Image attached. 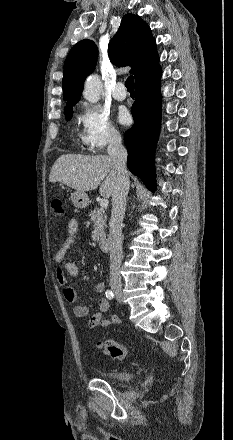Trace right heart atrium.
Masks as SVG:
<instances>
[{"label":"right heart atrium","instance_id":"obj_1","mask_svg":"<svg viewBox=\"0 0 233 440\" xmlns=\"http://www.w3.org/2000/svg\"><path fill=\"white\" fill-rule=\"evenodd\" d=\"M77 119L81 127L80 143L88 152L100 153L120 140V134L109 114L96 105L84 103Z\"/></svg>","mask_w":233,"mask_h":440}]
</instances>
